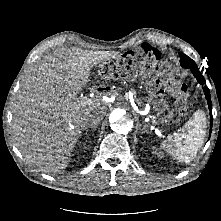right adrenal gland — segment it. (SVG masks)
Instances as JSON below:
<instances>
[{
  "label": "right adrenal gland",
  "mask_w": 221,
  "mask_h": 221,
  "mask_svg": "<svg viewBox=\"0 0 221 221\" xmlns=\"http://www.w3.org/2000/svg\"><path fill=\"white\" fill-rule=\"evenodd\" d=\"M96 128H97L96 126H89L86 128V132H89L90 129L96 130Z\"/></svg>",
  "instance_id": "2a0ac1e0"
}]
</instances>
